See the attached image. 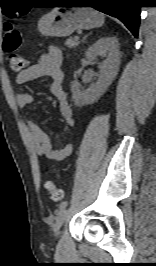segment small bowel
Returning a JSON list of instances; mask_svg holds the SVG:
<instances>
[{
	"label": "small bowel",
	"instance_id": "obj_1",
	"mask_svg": "<svg viewBox=\"0 0 156 266\" xmlns=\"http://www.w3.org/2000/svg\"><path fill=\"white\" fill-rule=\"evenodd\" d=\"M63 54L57 47H50L39 60L20 72L16 77V83L26 84L41 77L50 79V91L59 101V109L62 118L68 126L73 125L74 118L71 107L67 102V93L63 88ZM33 96L27 91H20L16 95L17 105L21 108L31 104ZM31 139L35 146V152L39 157L60 161L69 156L73 150V144L67 143L59 149L53 147L51 137L38 125L36 121L28 122Z\"/></svg>",
	"mask_w": 156,
	"mask_h": 266
}]
</instances>
